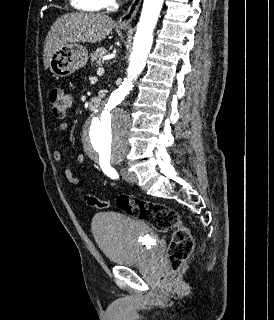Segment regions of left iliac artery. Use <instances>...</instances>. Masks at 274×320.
<instances>
[{
  "label": "left iliac artery",
  "mask_w": 274,
  "mask_h": 320,
  "mask_svg": "<svg viewBox=\"0 0 274 320\" xmlns=\"http://www.w3.org/2000/svg\"><path fill=\"white\" fill-rule=\"evenodd\" d=\"M100 167L102 171L112 179H118L119 175L116 172V170L110 165L109 161H101L100 162Z\"/></svg>",
  "instance_id": "obj_1"
}]
</instances>
